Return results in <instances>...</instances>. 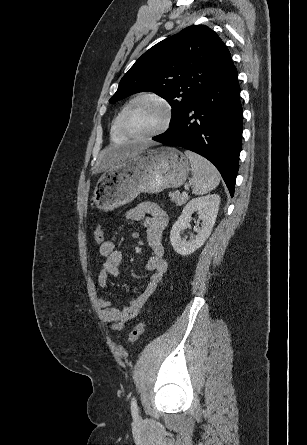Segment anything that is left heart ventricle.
Segmentation results:
<instances>
[{"label": "left heart ventricle", "mask_w": 307, "mask_h": 445, "mask_svg": "<svg viewBox=\"0 0 307 445\" xmlns=\"http://www.w3.org/2000/svg\"><path fill=\"white\" fill-rule=\"evenodd\" d=\"M165 118L163 107L152 100H143L134 104L129 113V120L134 131L150 132L161 126Z\"/></svg>", "instance_id": "left-heart-ventricle-1"}]
</instances>
